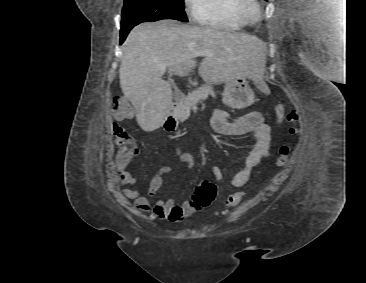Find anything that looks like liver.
Masks as SVG:
<instances>
[{"instance_id": "1", "label": "liver", "mask_w": 366, "mask_h": 283, "mask_svg": "<svg viewBox=\"0 0 366 283\" xmlns=\"http://www.w3.org/2000/svg\"><path fill=\"white\" fill-rule=\"evenodd\" d=\"M264 49L257 37L246 33L171 19L142 23L132 29L123 44L120 86L135 108L139 126L151 132L165 123L173 109L171 85L162 78L166 70L187 76L197 66L195 53L207 50L209 55L198 67L207 83L219 84L241 75L259 84L266 63ZM158 65H166V69H158Z\"/></svg>"}]
</instances>
